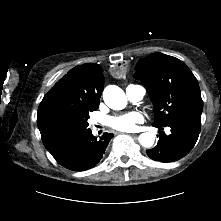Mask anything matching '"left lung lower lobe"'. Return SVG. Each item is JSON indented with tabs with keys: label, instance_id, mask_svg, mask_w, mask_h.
I'll list each match as a JSON object with an SVG mask.
<instances>
[{
	"label": "left lung lower lobe",
	"instance_id": "left-lung-lower-lobe-1",
	"mask_svg": "<svg viewBox=\"0 0 221 221\" xmlns=\"http://www.w3.org/2000/svg\"><path fill=\"white\" fill-rule=\"evenodd\" d=\"M170 127L171 134L159 131V141L155 148L147 150V155L156 161L168 163L186 156L194 147L201 129V114L194 113L171 119L165 126Z\"/></svg>",
	"mask_w": 221,
	"mask_h": 221
}]
</instances>
